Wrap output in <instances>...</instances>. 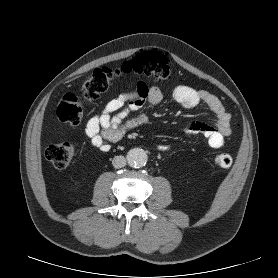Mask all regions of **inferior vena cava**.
Instances as JSON below:
<instances>
[{
  "instance_id": "602c4592",
  "label": "inferior vena cava",
  "mask_w": 278,
  "mask_h": 278,
  "mask_svg": "<svg viewBox=\"0 0 278 278\" xmlns=\"http://www.w3.org/2000/svg\"><path fill=\"white\" fill-rule=\"evenodd\" d=\"M112 165L115 168H122L126 165V158L124 156H115L112 160Z\"/></svg>"
}]
</instances>
